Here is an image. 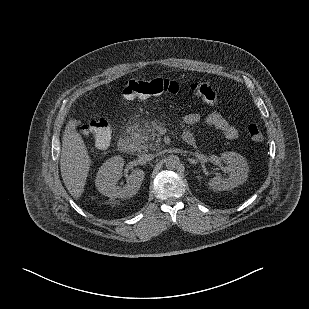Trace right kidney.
I'll return each mask as SVG.
<instances>
[{"instance_id": "obj_1", "label": "right kidney", "mask_w": 309, "mask_h": 309, "mask_svg": "<svg viewBox=\"0 0 309 309\" xmlns=\"http://www.w3.org/2000/svg\"><path fill=\"white\" fill-rule=\"evenodd\" d=\"M124 159L114 156L107 160L99 168L95 179L97 190L109 198L128 199L134 196L140 189L145 173L141 169H134L127 177L125 186H118L117 181L122 176Z\"/></svg>"}]
</instances>
